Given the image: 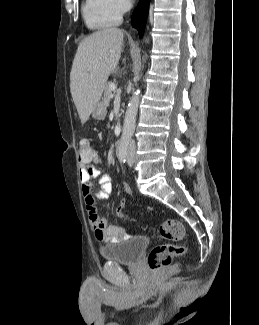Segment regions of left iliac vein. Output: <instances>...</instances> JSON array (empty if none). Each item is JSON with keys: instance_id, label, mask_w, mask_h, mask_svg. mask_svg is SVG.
<instances>
[{"instance_id": "1", "label": "left iliac vein", "mask_w": 259, "mask_h": 325, "mask_svg": "<svg viewBox=\"0 0 259 325\" xmlns=\"http://www.w3.org/2000/svg\"><path fill=\"white\" fill-rule=\"evenodd\" d=\"M134 163V155L132 151H129L128 156H127V164L129 166H132Z\"/></svg>"}]
</instances>
